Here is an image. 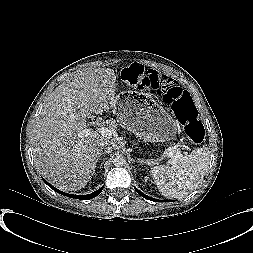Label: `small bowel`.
<instances>
[{
    "mask_svg": "<svg viewBox=\"0 0 253 253\" xmlns=\"http://www.w3.org/2000/svg\"><path fill=\"white\" fill-rule=\"evenodd\" d=\"M171 86H180L176 80L170 76L150 69L147 71L143 81L138 85L141 88L162 90Z\"/></svg>",
    "mask_w": 253,
    "mask_h": 253,
    "instance_id": "c3829d8e",
    "label": "small bowel"
}]
</instances>
